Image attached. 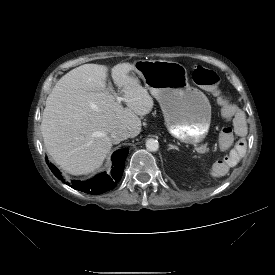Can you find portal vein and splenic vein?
Masks as SVG:
<instances>
[{"label":"portal vein and splenic vein","mask_w":275,"mask_h":275,"mask_svg":"<svg viewBox=\"0 0 275 275\" xmlns=\"http://www.w3.org/2000/svg\"><path fill=\"white\" fill-rule=\"evenodd\" d=\"M116 99H117V102H121V101L124 100L123 97H119V96H116ZM206 150H207V149H206L205 146H204V147H200V148L198 149V151H199L200 153H204Z\"/></svg>","instance_id":"18ae733b"}]
</instances>
